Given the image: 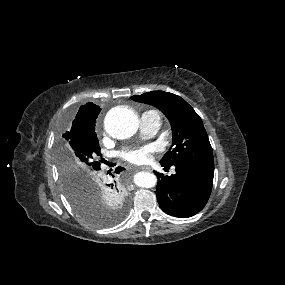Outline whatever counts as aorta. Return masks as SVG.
<instances>
[{"label": "aorta", "mask_w": 285, "mask_h": 285, "mask_svg": "<svg viewBox=\"0 0 285 285\" xmlns=\"http://www.w3.org/2000/svg\"><path fill=\"white\" fill-rule=\"evenodd\" d=\"M104 126L107 133L113 138L126 139L137 131L139 121L132 109L126 106H117L106 114ZM134 183L142 188H151L156 186L157 177L153 173L142 171L134 175Z\"/></svg>", "instance_id": "aorta-1"}]
</instances>
